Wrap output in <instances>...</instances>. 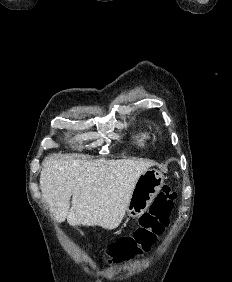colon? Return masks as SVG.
<instances>
[{"label":"colon","instance_id":"colon-1","mask_svg":"<svg viewBox=\"0 0 232 282\" xmlns=\"http://www.w3.org/2000/svg\"><path fill=\"white\" fill-rule=\"evenodd\" d=\"M176 192L164 186L153 201L149 211L141 219L132 235L119 238L100 255L106 261L122 262L147 252L168 226Z\"/></svg>","mask_w":232,"mask_h":282}]
</instances>
